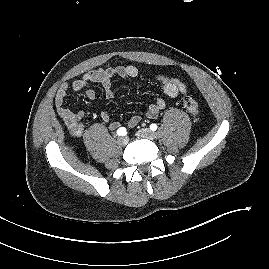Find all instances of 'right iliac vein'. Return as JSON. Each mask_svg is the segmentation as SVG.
Masks as SVG:
<instances>
[{
  "label": "right iliac vein",
  "mask_w": 269,
  "mask_h": 269,
  "mask_svg": "<svg viewBox=\"0 0 269 269\" xmlns=\"http://www.w3.org/2000/svg\"><path fill=\"white\" fill-rule=\"evenodd\" d=\"M129 142L128 138L126 136H122L118 138V143L121 145H126Z\"/></svg>",
  "instance_id": "1"
}]
</instances>
